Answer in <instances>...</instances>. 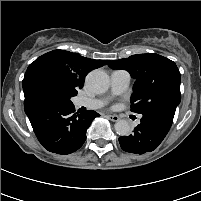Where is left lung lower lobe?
I'll use <instances>...</instances> for the list:
<instances>
[{"label": "left lung lower lobe", "instance_id": "1", "mask_svg": "<svg viewBox=\"0 0 201 201\" xmlns=\"http://www.w3.org/2000/svg\"><path fill=\"white\" fill-rule=\"evenodd\" d=\"M173 118L174 113L163 110L144 114L133 134L119 138L121 148L137 154L155 150L167 135Z\"/></svg>", "mask_w": 201, "mask_h": 201}]
</instances>
